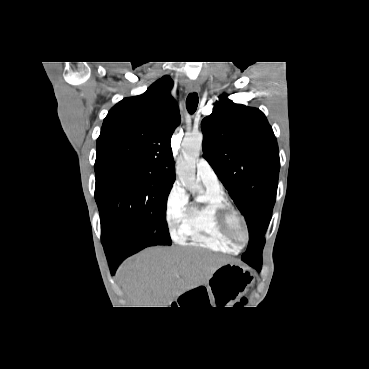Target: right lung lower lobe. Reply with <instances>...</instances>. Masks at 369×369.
Masks as SVG:
<instances>
[{"label":"right lung lower lobe","mask_w":369,"mask_h":369,"mask_svg":"<svg viewBox=\"0 0 369 369\" xmlns=\"http://www.w3.org/2000/svg\"><path fill=\"white\" fill-rule=\"evenodd\" d=\"M143 247L137 245L132 240H119L111 244L104 245L105 254L109 262L111 273L114 274L118 265L128 256L142 250Z\"/></svg>","instance_id":"98d812e1"}]
</instances>
